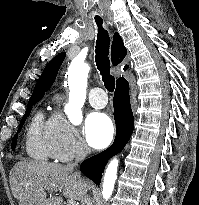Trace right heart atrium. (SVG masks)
<instances>
[{"instance_id": "obj_1", "label": "right heart atrium", "mask_w": 199, "mask_h": 205, "mask_svg": "<svg viewBox=\"0 0 199 205\" xmlns=\"http://www.w3.org/2000/svg\"><path fill=\"white\" fill-rule=\"evenodd\" d=\"M48 122L55 160L68 162L88 152L78 129L61 112H55Z\"/></svg>"}]
</instances>
